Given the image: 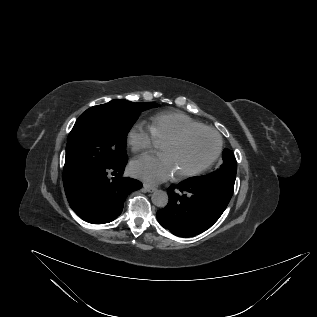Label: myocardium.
<instances>
[{
  "label": "myocardium",
  "mask_w": 317,
  "mask_h": 317,
  "mask_svg": "<svg viewBox=\"0 0 317 317\" xmlns=\"http://www.w3.org/2000/svg\"><path fill=\"white\" fill-rule=\"evenodd\" d=\"M202 132L210 133V134L214 135L217 138L216 150L213 153V155L204 164H202L201 166H199L196 169H193L191 171L178 173V177L179 178H186V177L196 176V175H199V174L203 173L207 169H209L214 164V162L218 159V157L220 156V154L222 152V148H223L222 137L213 128L203 126V127H199V128L186 129V130L182 131L178 135L174 136L173 138L167 140L165 143L162 144V147L165 146V145H177V144H180L181 142H183L184 140H186L189 136H191L193 134H196V133H202Z\"/></svg>",
  "instance_id": "f54148a6"
}]
</instances>
